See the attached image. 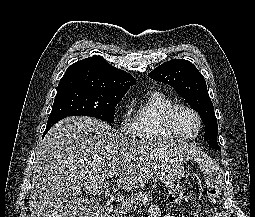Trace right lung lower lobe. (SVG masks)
I'll return each instance as SVG.
<instances>
[{
  "mask_svg": "<svg viewBox=\"0 0 255 217\" xmlns=\"http://www.w3.org/2000/svg\"><path fill=\"white\" fill-rule=\"evenodd\" d=\"M61 119H63V117H62V118L55 119V120H53V121H51V122H48V123H47V127H46V129H45V132H44V134H43V137H44L45 134L49 131V129H50L55 123H57L58 121H60Z\"/></svg>",
  "mask_w": 255,
  "mask_h": 217,
  "instance_id": "right-lung-lower-lobe-1",
  "label": "right lung lower lobe"
}]
</instances>
